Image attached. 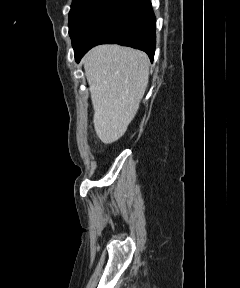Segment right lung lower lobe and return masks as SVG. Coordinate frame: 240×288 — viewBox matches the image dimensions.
I'll return each instance as SVG.
<instances>
[{"label": "right lung lower lobe", "instance_id": "right-lung-lower-lobe-1", "mask_svg": "<svg viewBox=\"0 0 240 288\" xmlns=\"http://www.w3.org/2000/svg\"><path fill=\"white\" fill-rule=\"evenodd\" d=\"M156 19L150 0H120L95 26L86 40L73 46L75 58L98 44H120L145 51L151 61L156 46Z\"/></svg>", "mask_w": 240, "mask_h": 288}]
</instances>
